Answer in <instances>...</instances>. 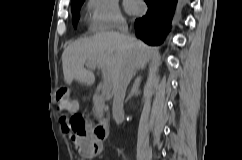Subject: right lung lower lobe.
I'll use <instances>...</instances> for the list:
<instances>
[{
  "mask_svg": "<svg viewBox=\"0 0 242 160\" xmlns=\"http://www.w3.org/2000/svg\"><path fill=\"white\" fill-rule=\"evenodd\" d=\"M177 1L145 0L148 11L135 21L136 35L150 45L160 44L171 27Z\"/></svg>",
  "mask_w": 242,
  "mask_h": 160,
  "instance_id": "1",
  "label": "right lung lower lobe"
}]
</instances>
